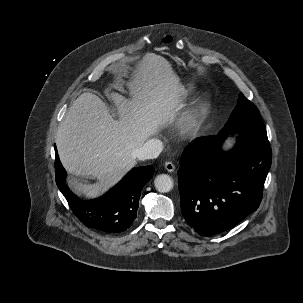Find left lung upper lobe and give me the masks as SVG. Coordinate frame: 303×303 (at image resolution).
Listing matches in <instances>:
<instances>
[{"instance_id": "1", "label": "left lung upper lobe", "mask_w": 303, "mask_h": 303, "mask_svg": "<svg viewBox=\"0 0 303 303\" xmlns=\"http://www.w3.org/2000/svg\"><path fill=\"white\" fill-rule=\"evenodd\" d=\"M228 134L245 135L259 142L269 144L266 128L261 120L259 110L242 93L239 95L236 108L218 135Z\"/></svg>"}]
</instances>
